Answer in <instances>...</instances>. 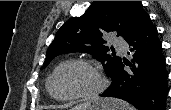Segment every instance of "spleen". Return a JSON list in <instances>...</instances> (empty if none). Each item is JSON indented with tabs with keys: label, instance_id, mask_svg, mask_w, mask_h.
Masks as SVG:
<instances>
[{
	"label": "spleen",
	"instance_id": "1",
	"mask_svg": "<svg viewBox=\"0 0 171 110\" xmlns=\"http://www.w3.org/2000/svg\"><path fill=\"white\" fill-rule=\"evenodd\" d=\"M123 110H134V108L132 106H129L128 104H125L123 102V107H122Z\"/></svg>",
	"mask_w": 171,
	"mask_h": 110
}]
</instances>
